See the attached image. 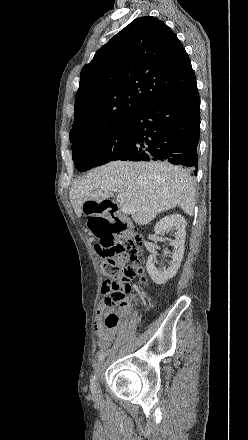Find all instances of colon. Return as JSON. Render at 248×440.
<instances>
[{"mask_svg": "<svg viewBox=\"0 0 248 440\" xmlns=\"http://www.w3.org/2000/svg\"><path fill=\"white\" fill-rule=\"evenodd\" d=\"M105 218H111L113 228L118 231L123 226L125 233L122 242L101 241L95 246L96 253L102 258V272L107 279L102 284V298L100 306L113 309L126 304L127 294L131 290V281L144 272L141 258V239L135 229L129 228L126 221L112 210L105 208ZM119 323V316L109 312L105 317L107 327H115Z\"/></svg>", "mask_w": 248, "mask_h": 440, "instance_id": "colon-1", "label": "colon"}]
</instances>
